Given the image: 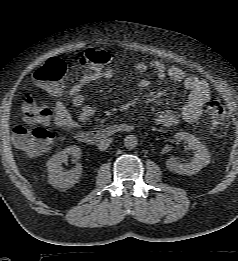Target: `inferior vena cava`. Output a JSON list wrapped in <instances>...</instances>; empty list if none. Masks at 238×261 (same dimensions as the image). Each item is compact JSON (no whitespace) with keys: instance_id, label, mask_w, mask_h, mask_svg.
I'll use <instances>...</instances> for the list:
<instances>
[{"instance_id":"602c4592","label":"inferior vena cava","mask_w":238,"mask_h":261,"mask_svg":"<svg viewBox=\"0 0 238 261\" xmlns=\"http://www.w3.org/2000/svg\"><path fill=\"white\" fill-rule=\"evenodd\" d=\"M112 139L107 138V139H102L99 143H98V149L100 151H105L109 145L111 144Z\"/></svg>"}]
</instances>
